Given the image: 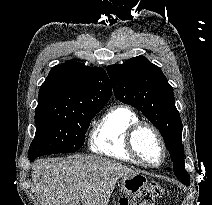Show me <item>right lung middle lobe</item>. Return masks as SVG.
<instances>
[{"label": "right lung middle lobe", "instance_id": "obj_1", "mask_svg": "<svg viewBox=\"0 0 212 205\" xmlns=\"http://www.w3.org/2000/svg\"><path fill=\"white\" fill-rule=\"evenodd\" d=\"M103 107L79 105L57 112L36 111V135L29 147V159L79 150L91 119Z\"/></svg>", "mask_w": 212, "mask_h": 205}]
</instances>
